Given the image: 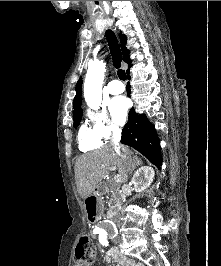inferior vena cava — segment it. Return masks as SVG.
<instances>
[{"label": "inferior vena cava", "instance_id": "inferior-vena-cava-1", "mask_svg": "<svg viewBox=\"0 0 221 266\" xmlns=\"http://www.w3.org/2000/svg\"><path fill=\"white\" fill-rule=\"evenodd\" d=\"M121 139V130L119 128L113 129V137H112V145L114 146L115 152L125 161L128 163V172L132 170V165L130 162V158L128 157L126 148L119 144ZM114 223L118 227L120 226V217L115 216Z\"/></svg>", "mask_w": 221, "mask_h": 266}]
</instances>
